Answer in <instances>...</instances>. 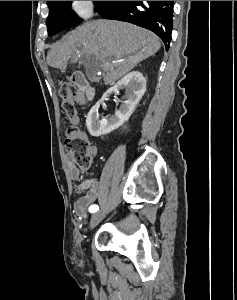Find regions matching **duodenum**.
Segmentation results:
<instances>
[{
    "instance_id": "obj_1",
    "label": "duodenum",
    "mask_w": 237,
    "mask_h": 300,
    "mask_svg": "<svg viewBox=\"0 0 237 300\" xmlns=\"http://www.w3.org/2000/svg\"><path fill=\"white\" fill-rule=\"evenodd\" d=\"M72 82L81 91H83L88 99L94 95L92 88L89 87L85 77L81 73H75L72 76Z\"/></svg>"
}]
</instances>
